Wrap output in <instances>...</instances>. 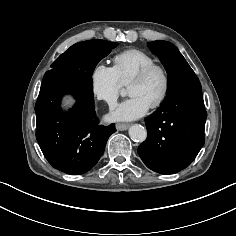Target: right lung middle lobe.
<instances>
[{"label":"right lung middle lobe","mask_w":236,"mask_h":236,"mask_svg":"<svg viewBox=\"0 0 236 236\" xmlns=\"http://www.w3.org/2000/svg\"><path fill=\"white\" fill-rule=\"evenodd\" d=\"M116 46L117 43L105 40H88L76 43L61 54L51 65L52 70L46 73L61 71L68 74L76 71L77 74L91 80L98 62Z\"/></svg>","instance_id":"right-lung-middle-lobe-1"}]
</instances>
